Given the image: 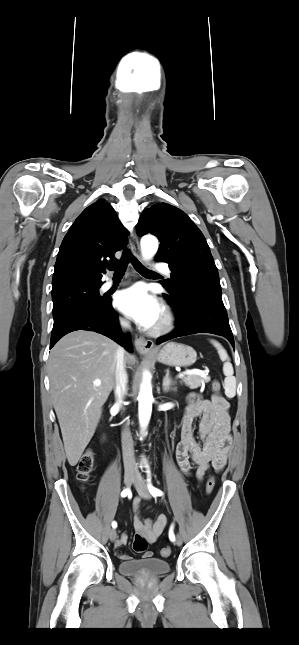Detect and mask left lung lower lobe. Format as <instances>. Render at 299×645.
<instances>
[{
	"label": "left lung lower lobe",
	"mask_w": 299,
	"mask_h": 645,
	"mask_svg": "<svg viewBox=\"0 0 299 645\" xmlns=\"http://www.w3.org/2000/svg\"><path fill=\"white\" fill-rule=\"evenodd\" d=\"M163 295L176 313L177 327L160 337L157 344L180 336L211 333L225 337L234 347L219 278L193 279L177 291H168Z\"/></svg>",
	"instance_id": "left-lung-lower-lobe-1"
}]
</instances>
